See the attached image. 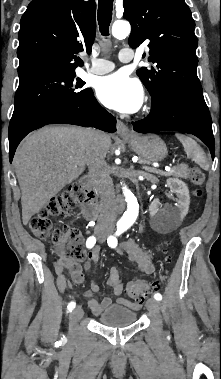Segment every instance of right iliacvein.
<instances>
[{
    "label": "right iliac vein",
    "mask_w": 221,
    "mask_h": 379,
    "mask_svg": "<svg viewBox=\"0 0 221 379\" xmlns=\"http://www.w3.org/2000/svg\"><path fill=\"white\" fill-rule=\"evenodd\" d=\"M82 316H83V310L81 309V307H77L76 309L73 310V312H71L70 317H69L71 333H74L76 329V324L81 319Z\"/></svg>",
    "instance_id": "63e3f726"
}]
</instances>
